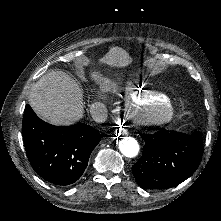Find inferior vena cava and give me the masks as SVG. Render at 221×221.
Wrapping results in <instances>:
<instances>
[{
	"instance_id": "obj_1",
	"label": "inferior vena cava",
	"mask_w": 221,
	"mask_h": 221,
	"mask_svg": "<svg viewBox=\"0 0 221 221\" xmlns=\"http://www.w3.org/2000/svg\"><path fill=\"white\" fill-rule=\"evenodd\" d=\"M94 106L96 107L95 115H96L97 122L98 123L105 122L108 117L107 106L102 103H95Z\"/></svg>"
}]
</instances>
